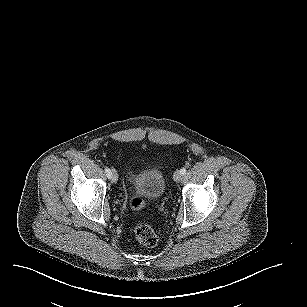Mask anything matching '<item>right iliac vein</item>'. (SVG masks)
<instances>
[{
    "mask_svg": "<svg viewBox=\"0 0 307 307\" xmlns=\"http://www.w3.org/2000/svg\"><path fill=\"white\" fill-rule=\"evenodd\" d=\"M111 171V178H112V181L114 182V183H116L117 181H118V173H117V171L115 170V169H111L110 170Z\"/></svg>",
    "mask_w": 307,
    "mask_h": 307,
    "instance_id": "obj_1",
    "label": "right iliac vein"
}]
</instances>
